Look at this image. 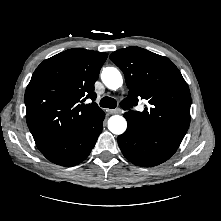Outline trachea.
I'll use <instances>...</instances> for the list:
<instances>
[{
  "instance_id": "trachea-1",
  "label": "trachea",
  "mask_w": 221,
  "mask_h": 221,
  "mask_svg": "<svg viewBox=\"0 0 221 221\" xmlns=\"http://www.w3.org/2000/svg\"><path fill=\"white\" fill-rule=\"evenodd\" d=\"M100 106L103 108L114 109L117 106V101L114 98L105 96L100 100Z\"/></svg>"
}]
</instances>
